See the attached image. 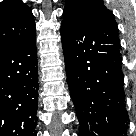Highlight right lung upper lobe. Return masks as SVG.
<instances>
[{
	"mask_svg": "<svg viewBox=\"0 0 136 136\" xmlns=\"http://www.w3.org/2000/svg\"><path fill=\"white\" fill-rule=\"evenodd\" d=\"M35 34L31 9L20 0L0 3V48L25 42Z\"/></svg>",
	"mask_w": 136,
	"mask_h": 136,
	"instance_id": "1",
	"label": "right lung upper lobe"
}]
</instances>
